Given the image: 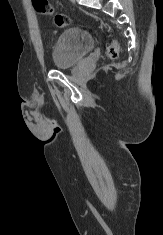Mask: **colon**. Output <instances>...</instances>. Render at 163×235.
I'll return each mask as SVG.
<instances>
[{
    "mask_svg": "<svg viewBox=\"0 0 163 235\" xmlns=\"http://www.w3.org/2000/svg\"><path fill=\"white\" fill-rule=\"evenodd\" d=\"M32 4L34 9L42 15L51 16L53 18L54 24L63 28L66 27L70 23V19L67 15L55 12L54 8L50 5L48 0H32ZM119 52V47L116 41H112L107 48V55L110 58L117 57Z\"/></svg>",
    "mask_w": 163,
    "mask_h": 235,
    "instance_id": "obj_1",
    "label": "colon"
}]
</instances>
